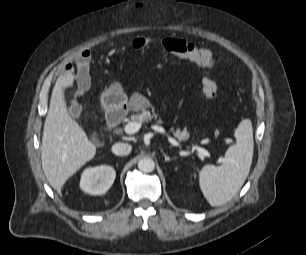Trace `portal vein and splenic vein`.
Segmentation results:
<instances>
[{"mask_svg":"<svg viewBox=\"0 0 306 255\" xmlns=\"http://www.w3.org/2000/svg\"><path fill=\"white\" fill-rule=\"evenodd\" d=\"M140 128H141V124H140V123H138V122H129V123H127V124L125 125V127H124V132H125L126 134H134V133L138 132V131L140 130ZM151 128H152L154 131H156V132H159V133H161V134L166 135L168 141H169L172 145H174V146H179V143H178L173 137H171V136L166 132V130H165L163 127L158 126V125H152ZM194 148L197 150V152H198L199 154H201V155H203V156H206V157H208V158L211 157V154H210L206 149L201 148V147H199V146H195Z\"/></svg>","mask_w":306,"mask_h":255,"instance_id":"1","label":"portal vein and splenic vein"}]
</instances>
